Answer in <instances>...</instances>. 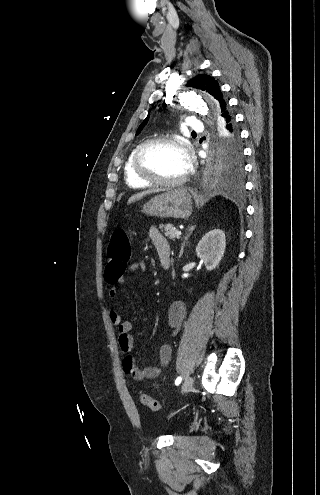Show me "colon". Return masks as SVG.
Segmentation results:
<instances>
[{
	"mask_svg": "<svg viewBox=\"0 0 320 495\" xmlns=\"http://www.w3.org/2000/svg\"><path fill=\"white\" fill-rule=\"evenodd\" d=\"M131 248L128 234L123 229H116L109 240L107 247L108 262L105 270V278L112 282H117L122 277L130 261ZM142 405L151 411L160 410L158 400L150 397L145 393L139 394Z\"/></svg>",
	"mask_w": 320,
	"mask_h": 495,
	"instance_id": "colon-1",
	"label": "colon"
}]
</instances>
